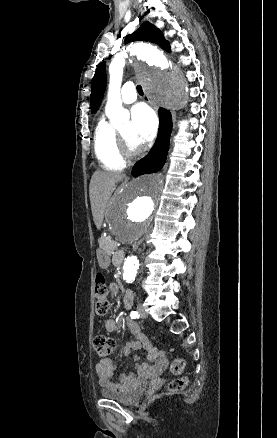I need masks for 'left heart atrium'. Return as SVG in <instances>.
I'll return each mask as SVG.
<instances>
[{"label":"left heart atrium","mask_w":277,"mask_h":438,"mask_svg":"<svg viewBox=\"0 0 277 438\" xmlns=\"http://www.w3.org/2000/svg\"><path fill=\"white\" fill-rule=\"evenodd\" d=\"M131 139L137 150H141L155 136L157 119L153 110L146 104L135 105L131 110Z\"/></svg>","instance_id":"1"}]
</instances>
